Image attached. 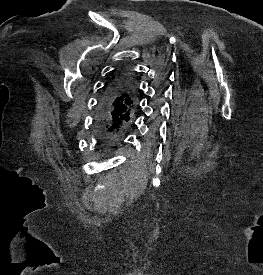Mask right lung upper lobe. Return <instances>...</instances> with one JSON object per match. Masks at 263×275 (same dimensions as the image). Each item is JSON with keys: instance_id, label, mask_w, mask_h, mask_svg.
I'll list each match as a JSON object with an SVG mask.
<instances>
[{"instance_id": "cb5924a9", "label": "right lung upper lobe", "mask_w": 263, "mask_h": 275, "mask_svg": "<svg viewBox=\"0 0 263 275\" xmlns=\"http://www.w3.org/2000/svg\"><path fill=\"white\" fill-rule=\"evenodd\" d=\"M120 74L114 75L110 79L109 84H112L114 82H121L122 83V86L125 90L123 100H122V104H121L122 115L133 116L134 111L137 107V93H136L135 83L132 79L122 78Z\"/></svg>"}]
</instances>
